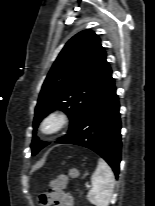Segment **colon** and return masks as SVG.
I'll return each instance as SVG.
<instances>
[{
    "label": "colon",
    "mask_w": 155,
    "mask_h": 206,
    "mask_svg": "<svg viewBox=\"0 0 155 206\" xmlns=\"http://www.w3.org/2000/svg\"><path fill=\"white\" fill-rule=\"evenodd\" d=\"M67 181V177L65 175H61L55 180L51 182V186L54 188H62ZM47 197H43V200H46Z\"/></svg>",
    "instance_id": "5ec220e1"
}]
</instances>
